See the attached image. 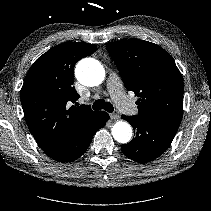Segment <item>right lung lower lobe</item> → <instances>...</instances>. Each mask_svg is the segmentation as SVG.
Segmentation results:
<instances>
[{"instance_id":"right-lung-lower-lobe-1","label":"right lung lower lobe","mask_w":211,"mask_h":211,"mask_svg":"<svg viewBox=\"0 0 211 211\" xmlns=\"http://www.w3.org/2000/svg\"><path fill=\"white\" fill-rule=\"evenodd\" d=\"M109 119L108 113L99 111L82 123L70 136L66 143L49 156L59 162H72L88 149L97 130L102 128Z\"/></svg>"}]
</instances>
